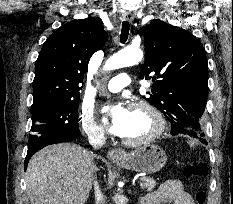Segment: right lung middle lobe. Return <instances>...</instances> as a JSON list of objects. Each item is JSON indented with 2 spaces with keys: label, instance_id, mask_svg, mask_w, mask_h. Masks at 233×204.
<instances>
[{
  "label": "right lung middle lobe",
  "instance_id": "dd1d6c3e",
  "mask_svg": "<svg viewBox=\"0 0 233 204\" xmlns=\"http://www.w3.org/2000/svg\"><path fill=\"white\" fill-rule=\"evenodd\" d=\"M78 105L79 99L32 106L28 151H38L60 137L79 136Z\"/></svg>",
  "mask_w": 233,
  "mask_h": 204
}]
</instances>
